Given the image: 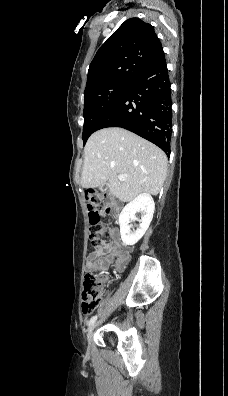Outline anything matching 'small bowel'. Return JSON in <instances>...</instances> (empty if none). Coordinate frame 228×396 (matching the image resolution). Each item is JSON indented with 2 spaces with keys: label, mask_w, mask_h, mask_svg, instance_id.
I'll use <instances>...</instances> for the list:
<instances>
[{
  "label": "small bowel",
  "mask_w": 228,
  "mask_h": 396,
  "mask_svg": "<svg viewBox=\"0 0 228 396\" xmlns=\"http://www.w3.org/2000/svg\"><path fill=\"white\" fill-rule=\"evenodd\" d=\"M112 242L104 243L101 246H97L86 258L85 267L89 272L102 269L113 260L114 254L118 255L117 267L118 269L123 268L125 263L129 259L130 248L123 247L122 244L115 238Z\"/></svg>",
  "instance_id": "1"
}]
</instances>
